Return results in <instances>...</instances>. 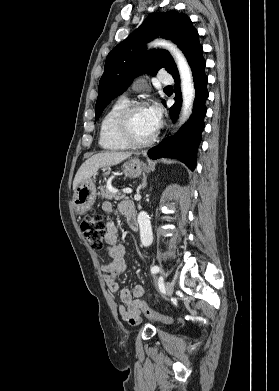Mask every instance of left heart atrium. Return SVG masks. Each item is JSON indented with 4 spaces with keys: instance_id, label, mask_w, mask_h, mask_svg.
Returning <instances> with one entry per match:
<instances>
[{
    "instance_id": "39dd6f15",
    "label": "left heart atrium",
    "mask_w": 279,
    "mask_h": 391,
    "mask_svg": "<svg viewBox=\"0 0 279 391\" xmlns=\"http://www.w3.org/2000/svg\"><path fill=\"white\" fill-rule=\"evenodd\" d=\"M148 111L155 124L158 125L161 118L160 109L157 106H151L148 108Z\"/></svg>"
}]
</instances>
